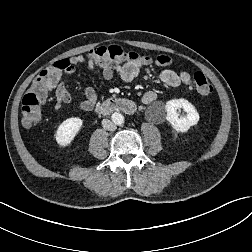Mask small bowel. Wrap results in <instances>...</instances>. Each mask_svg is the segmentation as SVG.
I'll use <instances>...</instances> for the list:
<instances>
[{"instance_id":"1","label":"small bowel","mask_w":252,"mask_h":252,"mask_svg":"<svg viewBox=\"0 0 252 252\" xmlns=\"http://www.w3.org/2000/svg\"><path fill=\"white\" fill-rule=\"evenodd\" d=\"M71 66L65 72L71 74L74 72V65L83 64L85 58L82 55L74 56L69 59ZM87 66L90 70H95L96 63L89 59L87 61ZM142 65L139 62L130 63L125 66H118L116 68L117 73L124 82H131L140 73ZM102 75L105 80H111L114 76V69L110 66H105L102 68ZM159 78L163 84L168 87L176 88L180 85H190L192 82L191 75L188 72H175L172 70H163L159 74ZM50 91H53L56 97L55 108L57 110H62L64 105L72 101L71 94L69 93L66 85L63 82L53 85L50 87ZM84 100L80 103L82 109L90 110L95 106L97 102V94L93 87H86L84 89ZM157 99V94L155 91L149 90L144 93L142 101L144 104H151Z\"/></svg>"}]
</instances>
